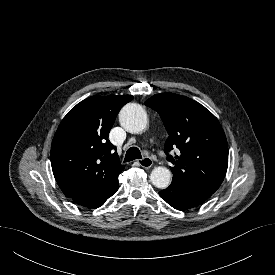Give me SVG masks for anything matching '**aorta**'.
I'll list each match as a JSON object with an SVG mask.
<instances>
[{
    "label": "aorta",
    "instance_id": "762f6f07",
    "mask_svg": "<svg viewBox=\"0 0 275 275\" xmlns=\"http://www.w3.org/2000/svg\"><path fill=\"white\" fill-rule=\"evenodd\" d=\"M121 126L130 133L142 132L148 123V118L144 108L137 103L126 104L119 114ZM171 172L165 167H156L150 174L151 183L159 188L165 189L171 183Z\"/></svg>",
    "mask_w": 275,
    "mask_h": 275
}]
</instances>
